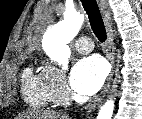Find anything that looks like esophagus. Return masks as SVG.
Wrapping results in <instances>:
<instances>
[{"label": "esophagus", "instance_id": "1", "mask_svg": "<svg viewBox=\"0 0 142 119\" xmlns=\"http://www.w3.org/2000/svg\"><path fill=\"white\" fill-rule=\"evenodd\" d=\"M103 21L106 28L107 33V49H106V57L111 63V72L107 78V81L102 89V91L95 97V99L87 106V112L92 113L96 106L102 103V100L104 99L105 95L107 94L111 80L113 78L114 72H115V47L113 42V31H112V20L110 17V11L108 9V4L106 0H97Z\"/></svg>", "mask_w": 142, "mask_h": 119}]
</instances>
